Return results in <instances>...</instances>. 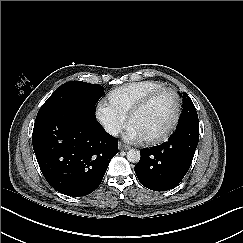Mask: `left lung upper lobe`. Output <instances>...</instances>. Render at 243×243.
Masks as SVG:
<instances>
[{"instance_id": "left-lung-upper-lobe-1", "label": "left lung upper lobe", "mask_w": 243, "mask_h": 243, "mask_svg": "<svg viewBox=\"0 0 243 243\" xmlns=\"http://www.w3.org/2000/svg\"><path fill=\"white\" fill-rule=\"evenodd\" d=\"M182 107H183V110H182V113L179 118L178 129L187 122L198 121V115H197L195 106H194L192 100L190 99V97L186 93L183 96ZM177 130L170 138H173L176 135Z\"/></svg>"}]
</instances>
